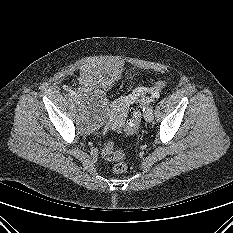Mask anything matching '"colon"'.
<instances>
[{
    "label": "colon",
    "mask_w": 233,
    "mask_h": 233,
    "mask_svg": "<svg viewBox=\"0 0 233 233\" xmlns=\"http://www.w3.org/2000/svg\"><path fill=\"white\" fill-rule=\"evenodd\" d=\"M164 86L163 81H159L155 86L150 90V96H154L156 91ZM140 121V112L137 108L132 110L131 117L127 121L124 133L126 135H132ZM102 155L104 159L108 161L115 162L113 165L112 171L114 174H122L127 170V164L124 160L123 152L115 150L112 143L107 142L104 145Z\"/></svg>",
    "instance_id": "colon-1"
}]
</instances>
